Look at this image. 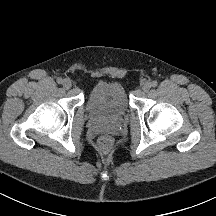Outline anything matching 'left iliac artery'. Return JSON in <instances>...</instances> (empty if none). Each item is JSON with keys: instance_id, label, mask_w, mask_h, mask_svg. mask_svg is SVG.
I'll return each mask as SVG.
<instances>
[{"instance_id": "left-iliac-artery-1", "label": "left iliac artery", "mask_w": 216, "mask_h": 216, "mask_svg": "<svg viewBox=\"0 0 216 216\" xmlns=\"http://www.w3.org/2000/svg\"><path fill=\"white\" fill-rule=\"evenodd\" d=\"M157 84H158L157 81H152V82H151V86H152V87H156Z\"/></svg>"}]
</instances>
